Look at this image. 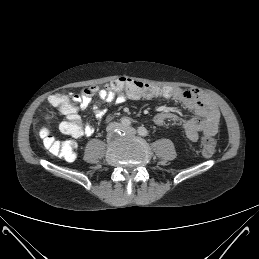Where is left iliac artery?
Returning a JSON list of instances; mask_svg holds the SVG:
<instances>
[{
    "label": "left iliac artery",
    "instance_id": "obj_1",
    "mask_svg": "<svg viewBox=\"0 0 259 259\" xmlns=\"http://www.w3.org/2000/svg\"><path fill=\"white\" fill-rule=\"evenodd\" d=\"M138 133L141 136H148L149 135L148 130L145 127H143V126L138 127Z\"/></svg>",
    "mask_w": 259,
    "mask_h": 259
}]
</instances>
